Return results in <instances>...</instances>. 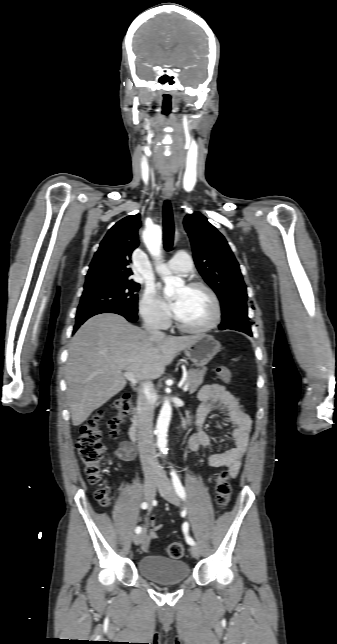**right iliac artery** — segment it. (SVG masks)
I'll return each mask as SVG.
<instances>
[{
  "label": "right iliac artery",
  "instance_id": "1",
  "mask_svg": "<svg viewBox=\"0 0 337 644\" xmlns=\"http://www.w3.org/2000/svg\"><path fill=\"white\" fill-rule=\"evenodd\" d=\"M147 507H148V504H147L146 502H143V503L141 504V508H142V509H147ZM141 530H142V528H141L140 526H138V527H136V528H135V532H136V533H140V532H141Z\"/></svg>",
  "mask_w": 337,
  "mask_h": 644
}]
</instances>
